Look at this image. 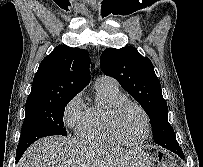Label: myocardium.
Segmentation results:
<instances>
[{"label":"myocardium","mask_w":203,"mask_h":167,"mask_svg":"<svg viewBox=\"0 0 203 167\" xmlns=\"http://www.w3.org/2000/svg\"><path fill=\"white\" fill-rule=\"evenodd\" d=\"M131 105L136 107L142 114L144 118V124H145V129H144V134L143 136L137 140V141H129L126 140L121 136L117 129V118L120 114V112L123 110L124 107ZM106 127L110 135L117 140L119 143L127 145V146H139L142 145L148 138L149 133H150V117L145 110V108L138 102L128 99V98H123L120 99L116 102L112 110L107 116L106 120Z\"/></svg>","instance_id":"f54148a6"}]
</instances>
